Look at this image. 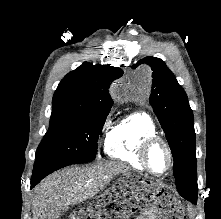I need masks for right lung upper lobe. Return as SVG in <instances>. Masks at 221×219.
<instances>
[{"mask_svg": "<svg viewBox=\"0 0 221 219\" xmlns=\"http://www.w3.org/2000/svg\"><path fill=\"white\" fill-rule=\"evenodd\" d=\"M122 73L117 67L84 62L60 82L53 96L52 109L83 115L110 111L113 101L108 92L109 83Z\"/></svg>", "mask_w": 221, "mask_h": 219, "instance_id": "cb5924a9", "label": "right lung upper lobe"}]
</instances>
